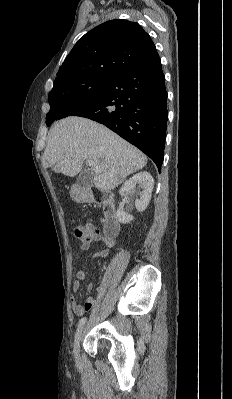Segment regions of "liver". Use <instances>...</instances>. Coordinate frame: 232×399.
Here are the masks:
<instances>
[{"instance_id":"6515ba94","label":"liver","mask_w":232,"mask_h":399,"mask_svg":"<svg viewBox=\"0 0 232 399\" xmlns=\"http://www.w3.org/2000/svg\"><path fill=\"white\" fill-rule=\"evenodd\" d=\"M84 160H92L101 170L93 180L101 192L114 190L147 164L145 154L101 124L76 116L55 122L48 134L44 166L74 178Z\"/></svg>"}]
</instances>
